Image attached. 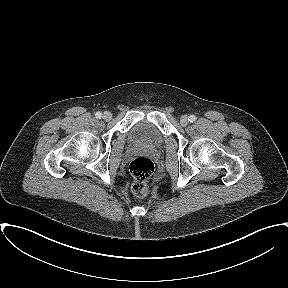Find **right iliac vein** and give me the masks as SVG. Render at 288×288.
Wrapping results in <instances>:
<instances>
[{
	"label": "right iliac vein",
	"mask_w": 288,
	"mask_h": 288,
	"mask_svg": "<svg viewBox=\"0 0 288 288\" xmlns=\"http://www.w3.org/2000/svg\"><path fill=\"white\" fill-rule=\"evenodd\" d=\"M111 118H112V114H111L110 112H108V111L104 112V114H103V119H104L105 121H110Z\"/></svg>",
	"instance_id": "1"
}]
</instances>
